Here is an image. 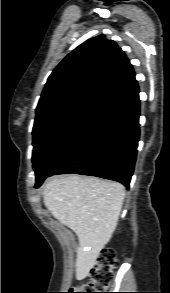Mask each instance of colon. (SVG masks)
Masks as SVG:
<instances>
[{
    "instance_id": "5ec220e1",
    "label": "colon",
    "mask_w": 170,
    "mask_h": 293,
    "mask_svg": "<svg viewBox=\"0 0 170 293\" xmlns=\"http://www.w3.org/2000/svg\"><path fill=\"white\" fill-rule=\"evenodd\" d=\"M117 265L116 252L111 248L100 251L87 278L71 289V293H103L113 280V269Z\"/></svg>"
}]
</instances>
